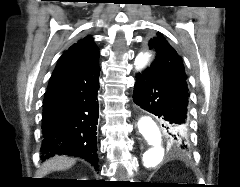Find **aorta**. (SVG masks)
I'll list each match as a JSON object with an SVG mask.
<instances>
[{"mask_svg": "<svg viewBox=\"0 0 240 187\" xmlns=\"http://www.w3.org/2000/svg\"><path fill=\"white\" fill-rule=\"evenodd\" d=\"M150 58L148 53H140L135 59L137 70L144 68ZM138 130L147 143L143 153V165L155 167L164 157V140L156 122L150 116H143L138 121Z\"/></svg>", "mask_w": 240, "mask_h": 187, "instance_id": "1", "label": "aorta"}]
</instances>
